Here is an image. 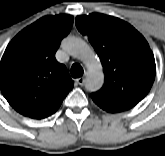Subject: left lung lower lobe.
I'll return each mask as SVG.
<instances>
[{
  "label": "left lung lower lobe",
  "mask_w": 165,
  "mask_h": 156,
  "mask_svg": "<svg viewBox=\"0 0 165 156\" xmlns=\"http://www.w3.org/2000/svg\"><path fill=\"white\" fill-rule=\"evenodd\" d=\"M92 100L103 110L109 112V113H118L121 112L120 110L106 104L105 102L101 101L100 99L96 98L95 96L91 95Z\"/></svg>",
  "instance_id": "obj_1"
}]
</instances>
